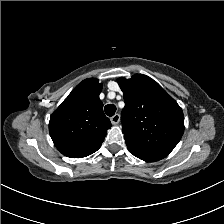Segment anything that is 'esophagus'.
I'll return each instance as SVG.
<instances>
[{
    "mask_svg": "<svg viewBox=\"0 0 224 224\" xmlns=\"http://www.w3.org/2000/svg\"><path fill=\"white\" fill-rule=\"evenodd\" d=\"M110 121L113 125H117L120 121V115L119 114H114L111 118Z\"/></svg>",
    "mask_w": 224,
    "mask_h": 224,
    "instance_id": "34e87169",
    "label": "esophagus"
}]
</instances>
